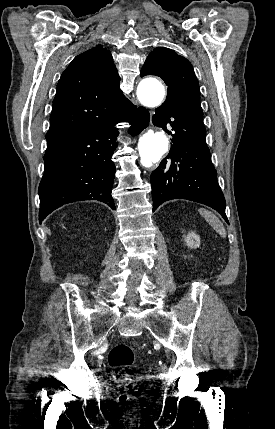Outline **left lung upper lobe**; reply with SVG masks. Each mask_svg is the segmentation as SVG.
<instances>
[{"label":"left lung upper lobe","instance_id":"obj_1","mask_svg":"<svg viewBox=\"0 0 275 429\" xmlns=\"http://www.w3.org/2000/svg\"><path fill=\"white\" fill-rule=\"evenodd\" d=\"M145 75L159 76L168 86V95L163 104L203 120L199 82L186 58L165 47L155 48L141 69L140 76Z\"/></svg>","mask_w":275,"mask_h":429}]
</instances>
